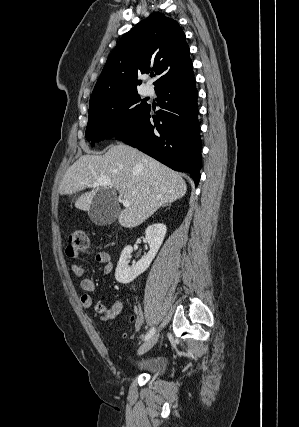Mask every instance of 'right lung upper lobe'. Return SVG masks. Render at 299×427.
I'll list each match as a JSON object with an SVG mask.
<instances>
[{"label":"right lung upper lobe","instance_id":"right-lung-upper-lobe-1","mask_svg":"<svg viewBox=\"0 0 299 427\" xmlns=\"http://www.w3.org/2000/svg\"><path fill=\"white\" fill-rule=\"evenodd\" d=\"M185 34L178 23L155 12L127 32L109 56L92 92L90 103L137 91L138 76L155 72L163 82L193 71Z\"/></svg>","mask_w":299,"mask_h":427}]
</instances>
